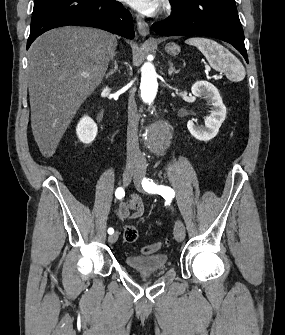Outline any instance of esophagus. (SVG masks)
Masks as SVG:
<instances>
[{
    "mask_svg": "<svg viewBox=\"0 0 285 335\" xmlns=\"http://www.w3.org/2000/svg\"><path fill=\"white\" fill-rule=\"evenodd\" d=\"M136 23H137V30L140 33V35H142V36L149 35L150 27L142 18H139L137 16L136 17Z\"/></svg>",
    "mask_w": 285,
    "mask_h": 335,
    "instance_id": "esophagus-1",
    "label": "esophagus"
}]
</instances>
